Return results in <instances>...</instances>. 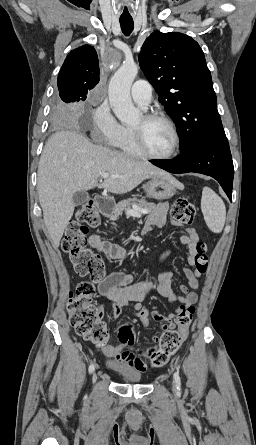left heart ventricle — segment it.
<instances>
[{
  "instance_id": "obj_1",
  "label": "left heart ventricle",
  "mask_w": 256,
  "mask_h": 445,
  "mask_svg": "<svg viewBox=\"0 0 256 445\" xmlns=\"http://www.w3.org/2000/svg\"><path fill=\"white\" fill-rule=\"evenodd\" d=\"M142 132L146 147L155 155L169 153L173 146V134L170 127L162 121L144 122L140 117L132 126Z\"/></svg>"
}]
</instances>
